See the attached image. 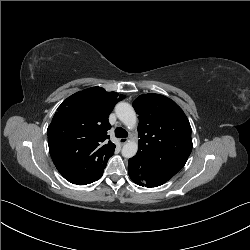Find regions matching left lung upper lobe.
Here are the masks:
<instances>
[{"mask_svg":"<svg viewBox=\"0 0 250 250\" xmlns=\"http://www.w3.org/2000/svg\"><path fill=\"white\" fill-rule=\"evenodd\" d=\"M133 107L139 115L138 151L179 171L192 151L191 126L182 109L159 94L140 95Z\"/></svg>","mask_w":250,"mask_h":250,"instance_id":"5c2ea615","label":"left lung upper lobe"}]
</instances>
